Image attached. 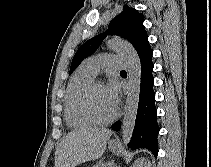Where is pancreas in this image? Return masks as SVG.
<instances>
[{
    "mask_svg": "<svg viewBox=\"0 0 211 167\" xmlns=\"http://www.w3.org/2000/svg\"><path fill=\"white\" fill-rule=\"evenodd\" d=\"M113 162H99L98 164L94 165L93 167H115L113 166Z\"/></svg>",
    "mask_w": 211,
    "mask_h": 167,
    "instance_id": "pancreas-1",
    "label": "pancreas"
}]
</instances>
